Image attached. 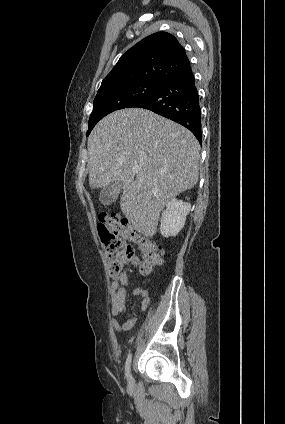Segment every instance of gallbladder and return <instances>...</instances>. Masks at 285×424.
Returning a JSON list of instances; mask_svg holds the SVG:
<instances>
[{
	"mask_svg": "<svg viewBox=\"0 0 285 424\" xmlns=\"http://www.w3.org/2000/svg\"><path fill=\"white\" fill-rule=\"evenodd\" d=\"M122 187L123 184L120 181L108 183L100 192V202L105 206L111 205L117 199Z\"/></svg>",
	"mask_w": 285,
	"mask_h": 424,
	"instance_id": "gallbladder-1",
	"label": "gallbladder"
}]
</instances>
